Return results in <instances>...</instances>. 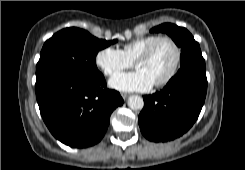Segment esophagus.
Listing matches in <instances>:
<instances>
[{"label":"esophagus","instance_id":"34e87169","mask_svg":"<svg viewBox=\"0 0 245 170\" xmlns=\"http://www.w3.org/2000/svg\"><path fill=\"white\" fill-rule=\"evenodd\" d=\"M121 96H122V98H123L124 100H126V99L128 98L129 95L126 94V93H122Z\"/></svg>","mask_w":245,"mask_h":170}]
</instances>
